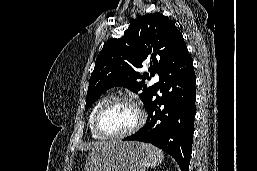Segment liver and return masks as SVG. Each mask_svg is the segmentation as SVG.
<instances>
[{
	"mask_svg": "<svg viewBox=\"0 0 257 171\" xmlns=\"http://www.w3.org/2000/svg\"><path fill=\"white\" fill-rule=\"evenodd\" d=\"M112 142H100V143H94L92 145H87L85 147L86 150H91V151H97L99 149H101L104 146H107L109 144H111Z\"/></svg>",
	"mask_w": 257,
	"mask_h": 171,
	"instance_id": "liver-1",
	"label": "liver"
}]
</instances>
